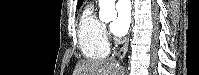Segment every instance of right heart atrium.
<instances>
[{
	"mask_svg": "<svg viewBox=\"0 0 199 75\" xmlns=\"http://www.w3.org/2000/svg\"><path fill=\"white\" fill-rule=\"evenodd\" d=\"M104 34H105L106 39L110 37L109 32L107 31L106 28H104Z\"/></svg>",
	"mask_w": 199,
	"mask_h": 75,
	"instance_id": "d8ad5b80",
	"label": "right heart atrium"
}]
</instances>
